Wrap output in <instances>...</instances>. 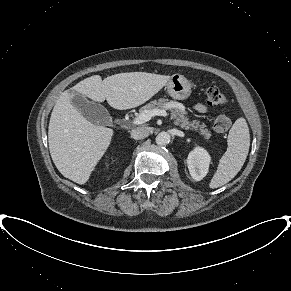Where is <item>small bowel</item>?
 <instances>
[{"label": "small bowel", "instance_id": "small-bowel-1", "mask_svg": "<svg viewBox=\"0 0 291 291\" xmlns=\"http://www.w3.org/2000/svg\"><path fill=\"white\" fill-rule=\"evenodd\" d=\"M195 109L200 113H206L207 112V107L202 103L196 104Z\"/></svg>", "mask_w": 291, "mask_h": 291}]
</instances>
